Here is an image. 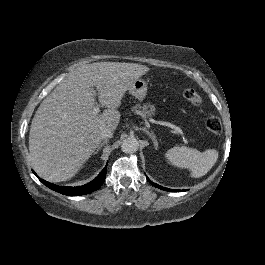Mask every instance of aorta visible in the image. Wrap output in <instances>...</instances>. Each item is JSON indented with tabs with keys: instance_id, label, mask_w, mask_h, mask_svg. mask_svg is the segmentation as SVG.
Segmentation results:
<instances>
[{
	"instance_id": "obj_1",
	"label": "aorta",
	"mask_w": 265,
	"mask_h": 265,
	"mask_svg": "<svg viewBox=\"0 0 265 265\" xmlns=\"http://www.w3.org/2000/svg\"><path fill=\"white\" fill-rule=\"evenodd\" d=\"M121 148L125 153H134L138 149V141L135 138H127L122 141Z\"/></svg>"
}]
</instances>
